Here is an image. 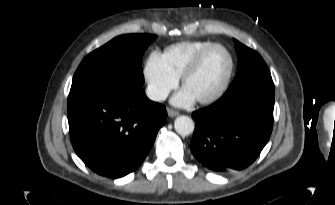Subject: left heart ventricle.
<instances>
[{"label":"left heart ventricle","mask_w":335,"mask_h":205,"mask_svg":"<svg viewBox=\"0 0 335 205\" xmlns=\"http://www.w3.org/2000/svg\"><path fill=\"white\" fill-rule=\"evenodd\" d=\"M230 67L227 53L220 48L210 51L200 68L186 81L184 88L195 99L211 95L224 81Z\"/></svg>","instance_id":"obj_1"}]
</instances>
